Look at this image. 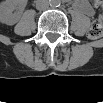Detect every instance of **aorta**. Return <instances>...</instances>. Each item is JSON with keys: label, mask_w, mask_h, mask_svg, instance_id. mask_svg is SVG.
<instances>
[{"label": "aorta", "mask_w": 103, "mask_h": 103, "mask_svg": "<svg viewBox=\"0 0 103 103\" xmlns=\"http://www.w3.org/2000/svg\"><path fill=\"white\" fill-rule=\"evenodd\" d=\"M57 5H58L57 1L52 2V6H57Z\"/></svg>", "instance_id": "762f6f07"}]
</instances>
